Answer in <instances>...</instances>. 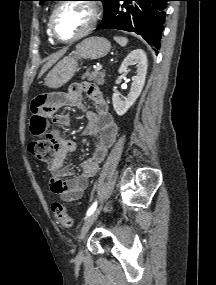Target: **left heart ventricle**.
I'll list each match as a JSON object with an SVG mask.
<instances>
[{"label": "left heart ventricle", "instance_id": "b2bd125f", "mask_svg": "<svg viewBox=\"0 0 216 285\" xmlns=\"http://www.w3.org/2000/svg\"><path fill=\"white\" fill-rule=\"evenodd\" d=\"M91 9L82 3H70L63 6L54 21L56 34L63 39L81 33L90 23Z\"/></svg>", "mask_w": 216, "mask_h": 285}]
</instances>
